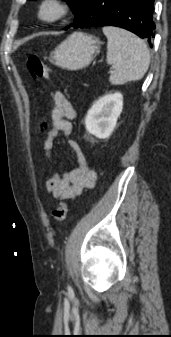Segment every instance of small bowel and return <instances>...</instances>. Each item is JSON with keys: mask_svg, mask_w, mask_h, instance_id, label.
I'll return each mask as SVG.
<instances>
[{"mask_svg": "<svg viewBox=\"0 0 171 337\" xmlns=\"http://www.w3.org/2000/svg\"><path fill=\"white\" fill-rule=\"evenodd\" d=\"M52 128L43 144V156L53 165L56 161L52 148L58 133H63L68 138V143L75 153L78 167L62 173L54 172L46 182V193L57 200H74L84 189L93 187L97 175L86 161L85 155L79 144L70 139L73 130L71 120L76 117V109L72 102L60 91L51 93Z\"/></svg>", "mask_w": 171, "mask_h": 337, "instance_id": "small-bowel-1", "label": "small bowel"}]
</instances>
